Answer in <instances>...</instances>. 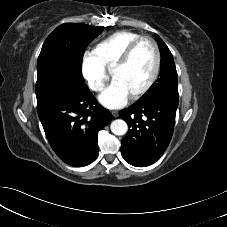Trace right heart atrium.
Instances as JSON below:
<instances>
[{
  "instance_id": "d8ad5b80",
  "label": "right heart atrium",
  "mask_w": 227,
  "mask_h": 227,
  "mask_svg": "<svg viewBox=\"0 0 227 227\" xmlns=\"http://www.w3.org/2000/svg\"><path fill=\"white\" fill-rule=\"evenodd\" d=\"M81 73L89 87L96 92L101 91L108 80L105 66L91 51H86L81 58Z\"/></svg>"
}]
</instances>
